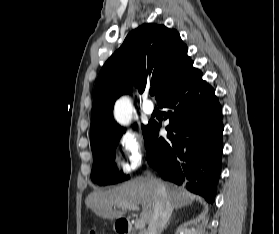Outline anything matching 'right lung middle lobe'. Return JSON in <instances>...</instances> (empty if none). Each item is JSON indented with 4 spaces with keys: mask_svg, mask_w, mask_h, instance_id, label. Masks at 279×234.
Segmentation results:
<instances>
[{
    "mask_svg": "<svg viewBox=\"0 0 279 234\" xmlns=\"http://www.w3.org/2000/svg\"><path fill=\"white\" fill-rule=\"evenodd\" d=\"M144 140L146 141L150 123L147 126L141 125ZM124 133V129L120 128L111 134L101 138L91 145L93 152V168L91 179L99 185H108L127 180L129 176L123 175L116 168L113 159L115 158L116 146Z\"/></svg>",
    "mask_w": 279,
    "mask_h": 234,
    "instance_id": "dd1d6c3e",
    "label": "right lung middle lobe"
}]
</instances>
